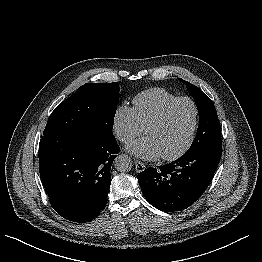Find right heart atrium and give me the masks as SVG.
<instances>
[{
  "label": "right heart atrium",
  "mask_w": 262,
  "mask_h": 262,
  "mask_svg": "<svg viewBox=\"0 0 262 262\" xmlns=\"http://www.w3.org/2000/svg\"><path fill=\"white\" fill-rule=\"evenodd\" d=\"M112 129L115 137L124 144L131 142L144 130L133 109L127 105H119L112 117Z\"/></svg>",
  "instance_id": "obj_1"
}]
</instances>
